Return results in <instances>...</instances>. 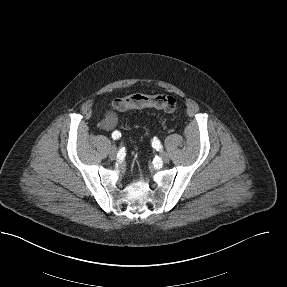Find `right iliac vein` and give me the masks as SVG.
<instances>
[{
    "mask_svg": "<svg viewBox=\"0 0 287 287\" xmlns=\"http://www.w3.org/2000/svg\"><path fill=\"white\" fill-rule=\"evenodd\" d=\"M117 148L116 147H111V149H110V151H109V157L111 158V159H116V157H117Z\"/></svg>",
    "mask_w": 287,
    "mask_h": 287,
    "instance_id": "obj_1",
    "label": "right iliac vein"
}]
</instances>
